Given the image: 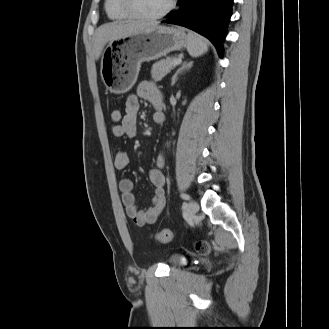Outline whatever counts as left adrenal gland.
<instances>
[{
	"label": "left adrenal gland",
	"mask_w": 329,
	"mask_h": 329,
	"mask_svg": "<svg viewBox=\"0 0 329 329\" xmlns=\"http://www.w3.org/2000/svg\"><path fill=\"white\" fill-rule=\"evenodd\" d=\"M192 66H193V61H190V62L184 61L181 65V67L173 75L171 86H173L176 83L179 74H181L185 71H188L189 69H191Z\"/></svg>",
	"instance_id": "left-adrenal-gland-1"
}]
</instances>
